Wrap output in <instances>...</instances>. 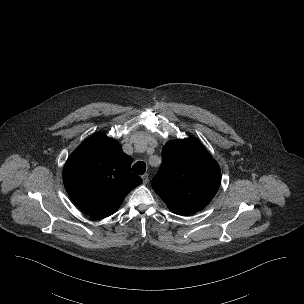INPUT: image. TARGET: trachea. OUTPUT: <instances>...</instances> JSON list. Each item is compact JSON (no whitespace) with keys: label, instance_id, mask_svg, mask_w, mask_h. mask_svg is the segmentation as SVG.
I'll use <instances>...</instances> for the list:
<instances>
[{"label":"trachea","instance_id":"1","mask_svg":"<svg viewBox=\"0 0 304 304\" xmlns=\"http://www.w3.org/2000/svg\"><path fill=\"white\" fill-rule=\"evenodd\" d=\"M132 171L138 175H143L146 171V164L143 161H138L132 166Z\"/></svg>","mask_w":304,"mask_h":304}]
</instances>
